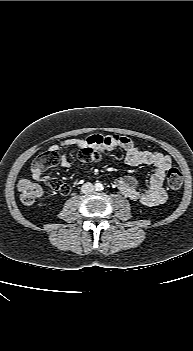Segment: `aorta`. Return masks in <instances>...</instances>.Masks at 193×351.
I'll return each mask as SVG.
<instances>
[{"mask_svg": "<svg viewBox=\"0 0 193 351\" xmlns=\"http://www.w3.org/2000/svg\"><path fill=\"white\" fill-rule=\"evenodd\" d=\"M95 189H96L97 191H101V190H103V185H102L101 183H96V184H95Z\"/></svg>", "mask_w": 193, "mask_h": 351, "instance_id": "aorta-1", "label": "aorta"}]
</instances>
